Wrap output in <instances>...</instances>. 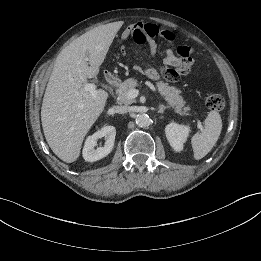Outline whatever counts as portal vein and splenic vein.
<instances>
[{"label": "portal vein and splenic vein", "mask_w": 261, "mask_h": 261, "mask_svg": "<svg viewBox=\"0 0 261 261\" xmlns=\"http://www.w3.org/2000/svg\"><path fill=\"white\" fill-rule=\"evenodd\" d=\"M84 90L86 92H90L92 94V96H95V94H96V84L95 83H87L84 86ZM138 94H139V90L138 89H131V90H129L127 92L126 97L128 99H134V98H136L138 96ZM182 114L188 115L185 112H183ZM197 123H198V128L200 130H203V126H202L201 122L199 120H197Z\"/></svg>", "instance_id": "portal-vein-and-splenic-vein-1"}]
</instances>
